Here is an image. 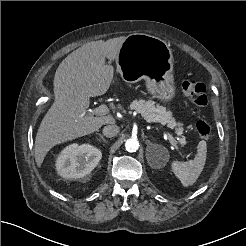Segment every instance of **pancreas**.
Here are the masks:
<instances>
[{
	"mask_svg": "<svg viewBox=\"0 0 246 246\" xmlns=\"http://www.w3.org/2000/svg\"><path fill=\"white\" fill-rule=\"evenodd\" d=\"M130 109L136 110L147 122H160L161 124H167L169 127L173 128L178 126L180 128V123H176L172 118V112L167 110L166 107L156 104L152 100H134L130 106ZM181 144H185V138L180 139Z\"/></svg>",
	"mask_w": 246,
	"mask_h": 246,
	"instance_id": "obj_1",
	"label": "pancreas"
}]
</instances>
